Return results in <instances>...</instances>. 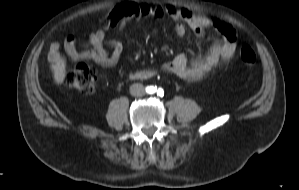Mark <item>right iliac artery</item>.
<instances>
[{
  "label": "right iliac artery",
  "mask_w": 299,
  "mask_h": 190,
  "mask_svg": "<svg viewBox=\"0 0 299 190\" xmlns=\"http://www.w3.org/2000/svg\"><path fill=\"white\" fill-rule=\"evenodd\" d=\"M147 89H148V92L151 93V94L154 93V92H156V90H157L156 86L155 87L154 86H150Z\"/></svg>",
  "instance_id": "obj_1"
}]
</instances>
